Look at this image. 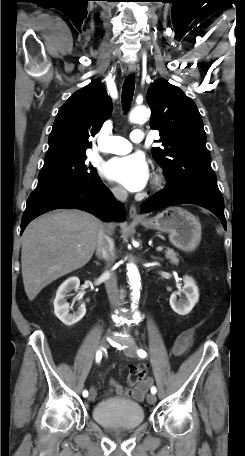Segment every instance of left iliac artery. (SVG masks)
Instances as JSON below:
<instances>
[{
	"label": "left iliac artery",
	"mask_w": 245,
	"mask_h": 456,
	"mask_svg": "<svg viewBox=\"0 0 245 456\" xmlns=\"http://www.w3.org/2000/svg\"><path fill=\"white\" fill-rule=\"evenodd\" d=\"M137 354L140 358H145L147 356V353L143 349H139L137 351ZM157 392V389L155 386L151 387V393L155 394Z\"/></svg>",
	"instance_id": "1"
}]
</instances>
